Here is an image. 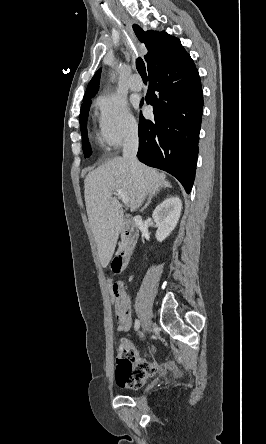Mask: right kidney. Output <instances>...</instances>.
Returning a JSON list of instances; mask_svg holds the SVG:
<instances>
[{"instance_id":"obj_1","label":"right kidney","mask_w":266,"mask_h":444,"mask_svg":"<svg viewBox=\"0 0 266 444\" xmlns=\"http://www.w3.org/2000/svg\"><path fill=\"white\" fill-rule=\"evenodd\" d=\"M182 202L178 197H169L153 211L152 217L158 227L156 239L165 240L176 227L181 215Z\"/></svg>"}]
</instances>
